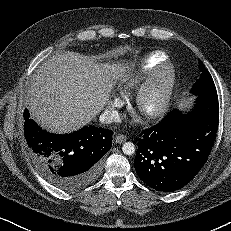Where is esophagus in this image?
I'll return each instance as SVG.
<instances>
[{
	"mask_svg": "<svg viewBox=\"0 0 231 231\" xmlns=\"http://www.w3.org/2000/svg\"><path fill=\"white\" fill-rule=\"evenodd\" d=\"M126 140H127L126 136L121 134L117 135L115 138V142L118 144L124 143Z\"/></svg>",
	"mask_w": 231,
	"mask_h": 231,
	"instance_id": "34e87169",
	"label": "esophagus"
}]
</instances>
